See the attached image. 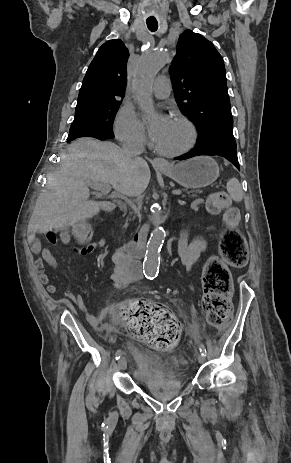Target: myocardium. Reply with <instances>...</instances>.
Listing matches in <instances>:
<instances>
[{
    "instance_id": "obj_1",
    "label": "myocardium",
    "mask_w": 291,
    "mask_h": 463,
    "mask_svg": "<svg viewBox=\"0 0 291 463\" xmlns=\"http://www.w3.org/2000/svg\"><path fill=\"white\" fill-rule=\"evenodd\" d=\"M174 119H176L179 123H181L186 128L187 134H188L187 140L181 147L175 150L165 151V150L156 148V151L164 157H177V156L187 153L194 146L197 140V129L194 123L189 118H187L183 114L176 113L174 115Z\"/></svg>"
}]
</instances>
